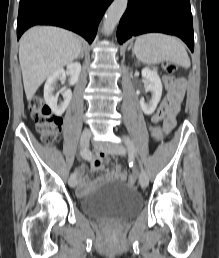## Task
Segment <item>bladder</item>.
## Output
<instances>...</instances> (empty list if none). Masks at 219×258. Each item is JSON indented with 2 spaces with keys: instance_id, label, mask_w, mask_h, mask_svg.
I'll return each instance as SVG.
<instances>
[{
  "instance_id": "bladder-1",
  "label": "bladder",
  "mask_w": 219,
  "mask_h": 258,
  "mask_svg": "<svg viewBox=\"0 0 219 258\" xmlns=\"http://www.w3.org/2000/svg\"><path fill=\"white\" fill-rule=\"evenodd\" d=\"M83 213L96 218L126 220L142 208V197L122 183L104 184L79 199Z\"/></svg>"
}]
</instances>
